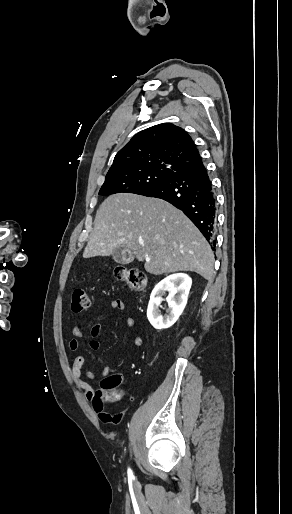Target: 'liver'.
<instances>
[{"instance_id": "6515ba94", "label": "liver", "mask_w": 292, "mask_h": 514, "mask_svg": "<svg viewBox=\"0 0 292 514\" xmlns=\"http://www.w3.org/2000/svg\"><path fill=\"white\" fill-rule=\"evenodd\" d=\"M143 242V244H140ZM128 248L149 274L196 272L213 276L214 254L189 218L168 202L137 194H113L102 202L83 258Z\"/></svg>"}]
</instances>
